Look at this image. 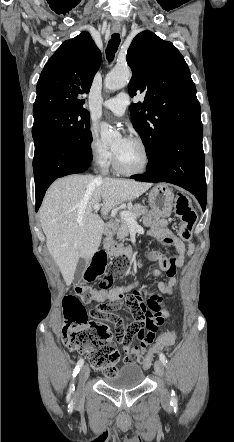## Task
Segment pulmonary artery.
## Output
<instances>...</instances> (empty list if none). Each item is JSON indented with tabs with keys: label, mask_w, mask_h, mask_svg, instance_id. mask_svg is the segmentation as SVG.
Listing matches in <instances>:
<instances>
[{
	"label": "pulmonary artery",
	"mask_w": 234,
	"mask_h": 442,
	"mask_svg": "<svg viewBox=\"0 0 234 442\" xmlns=\"http://www.w3.org/2000/svg\"><path fill=\"white\" fill-rule=\"evenodd\" d=\"M129 104L130 98L127 93H120L117 96L103 102V106L117 116H122Z\"/></svg>",
	"instance_id": "obj_1"
}]
</instances>
